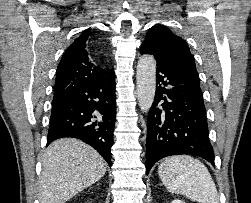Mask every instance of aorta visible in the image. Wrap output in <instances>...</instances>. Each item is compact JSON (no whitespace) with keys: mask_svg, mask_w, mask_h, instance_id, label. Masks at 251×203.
I'll return each mask as SVG.
<instances>
[{"mask_svg":"<svg viewBox=\"0 0 251 203\" xmlns=\"http://www.w3.org/2000/svg\"><path fill=\"white\" fill-rule=\"evenodd\" d=\"M137 98L141 111L148 112L156 91V61L152 55L144 54L137 64Z\"/></svg>","mask_w":251,"mask_h":203,"instance_id":"obj_1","label":"aorta"}]
</instances>
